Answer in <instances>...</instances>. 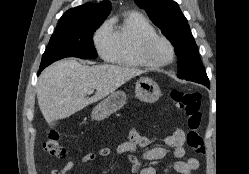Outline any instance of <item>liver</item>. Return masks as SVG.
Masks as SVG:
<instances>
[{"label":"liver","mask_w":249,"mask_h":174,"mask_svg":"<svg viewBox=\"0 0 249 174\" xmlns=\"http://www.w3.org/2000/svg\"><path fill=\"white\" fill-rule=\"evenodd\" d=\"M144 71L116 65H82L74 59L56 62L39 77L37 100L48 123L64 119L113 93ZM94 96L86 99L93 93Z\"/></svg>","instance_id":"obj_1"}]
</instances>
